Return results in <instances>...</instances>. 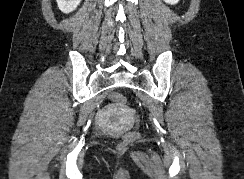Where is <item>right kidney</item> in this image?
<instances>
[{"instance_id":"1","label":"right kidney","mask_w":244,"mask_h":179,"mask_svg":"<svg viewBox=\"0 0 244 179\" xmlns=\"http://www.w3.org/2000/svg\"><path fill=\"white\" fill-rule=\"evenodd\" d=\"M56 2L61 12H64V14H69V12H73V10H76L81 0H56Z\"/></svg>"}]
</instances>
